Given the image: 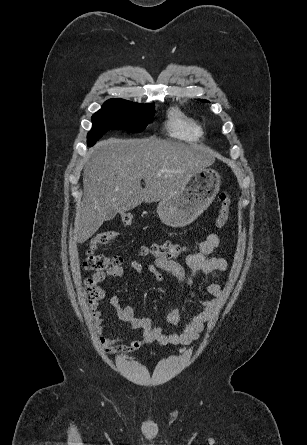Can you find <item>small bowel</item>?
Listing matches in <instances>:
<instances>
[{
	"label": "small bowel",
	"mask_w": 307,
	"mask_h": 445,
	"mask_svg": "<svg viewBox=\"0 0 307 445\" xmlns=\"http://www.w3.org/2000/svg\"><path fill=\"white\" fill-rule=\"evenodd\" d=\"M220 244V237L217 232H211L203 240L196 251L189 254L186 258L187 267L190 272L178 262L172 259L158 258L147 266H143L138 261L130 263L131 269L136 273L148 272L153 278L160 280L162 273H168L175 277L179 282L185 285L192 295L191 291L194 278L202 276L205 279V289L211 295L210 299H199L201 310L195 314L187 323L180 324V312L178 309L171 310L167 315V320L175 326L177 330L171 333H165L161 327H154L152 320L148 317H138L134 314L130 306H124L117 296L109 300L110 306L115 311L116 316L127 323L131 329L142 332L141 339H135L126 343L125 337L107 338L100 336V343L109 354H129L138 350L143 344L158 343L160 345H187L196 340L204 328V324L210 318L218 300L223 294L221 286L213 280L218 277L220 272L228 268L226 259L216 257V252ZM124 269L121 266L113 267L105 272L95 273L92 280L99 291V296L93 305V319L98 329L106 322L101 310L98 309V300L104 297L102 288L103 282L107 278L122 277Z\"/></svg>",
	"instance_id": "1"
}]
</instances>
